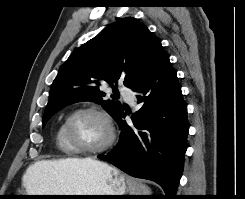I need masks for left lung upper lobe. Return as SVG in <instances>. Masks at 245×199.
<instances>
[{
    "instance_id": "5c2ea615",
    "label": "left lung upper lobe",
    "mask_w": 245,
    "mask_h": 199,
    "mask_svg": "<svg viewBox=\"0 0 245 199\" xmlns=\"http://www.w3.org/2000/svg\"><path fill=\"white\" fill-rule=\"evenodd\" d=\"M163 50L160 40L133 17L119 19L96 37L74 50L60 67L50 89V98L43 115V125L62 108L81 101L101 104L116 119L123 110L119 101L103 100L99 90L105 82L124 79L131 88Z\"/></svg>"
}]
</instances>
